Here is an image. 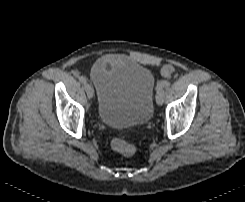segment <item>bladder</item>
<instances>
[{
	"label": "bladder",
	"mask_w": 245,
	"mask_h": 202,
	"mask_svg": "<svg viewBox=\"0 0 245 202\" xmlns=\"http://www.w3.org/2000/svg\"><path fill=\"white\" fill-rule=\"evenodd\" d=\"M90 80L96 88V114L102 123L123 128L150 120L156 80L148 68L135 61L97 64Z\"/></svg>",
	"instance_id": "1"
}]
</instances>
